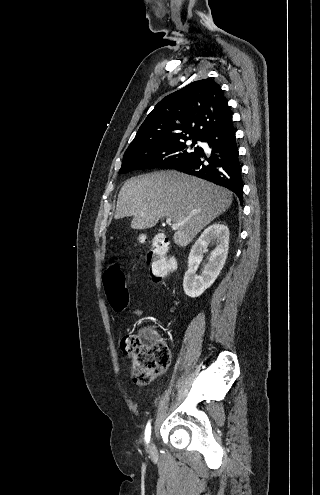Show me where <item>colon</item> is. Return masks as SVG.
I'll list each match as a JSON object with an SVG mask.
<instances>
[{
  "mask_svg": "<svg viewBox=\"0 0 320 495\" xmlns=\"http://www.w3.org/2000/svg\"><path fill=\"white\" fill-rule=\"evenodd\" d=\"M169 243L159 237L146 256L154 282L163 283L175 269V261L168 254ZM103 286L110 306L117 312L126 309L129 301L125 275L118 261L112 260L103 273ZM121 349L132 359V379L138 385L150 383L164 371L170 361L167 346L154 338L153 330L144 327L121 339Z\"/></svg>",
  "mask_w": 320,
  "mask_h": 495,
  "instance_id": "1",
  "label": "colon"
}]
</instances>
